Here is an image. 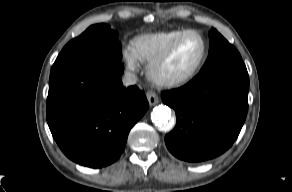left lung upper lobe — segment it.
<instances>
[{
	"label": "left lung upper lobe",
	"instance_id": "obj_1",
	"mask_svg": "<svg viewBox=\"0 0 292 192\" xmlns=\"http://www.w3.org/2000/svg\"><path fill=\"white\" fill-rule=\"evenodd\" d=\"M210 50L199 73L222 67L244 66L239 52L214 28L209 32Z\"/></svg>",
	"mask_w": 292,
	"mask_h": 192
}]
</instances>
